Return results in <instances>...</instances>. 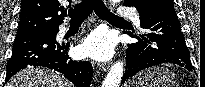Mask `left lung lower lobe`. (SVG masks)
<instances>
[{
	"label": "left lung lower lobe",
	"instance_id": "0a47b994",
	"mask_svg": "<svg viewBox=\"0 0 205 87\" xmlns=\"http://www.w3.org/2000/svg\"><path fill=\"white\" fill-rule=\"evenodd\" d=\"M144 34L128 33L139 40L127 45L126 71L122 83L137 72L162 63H173L193 71L189 50L174 6L156 4L138 10Z\"/></svg>",
	"mask_w": 205,
	"mask_h": 87
}]
</instances>
